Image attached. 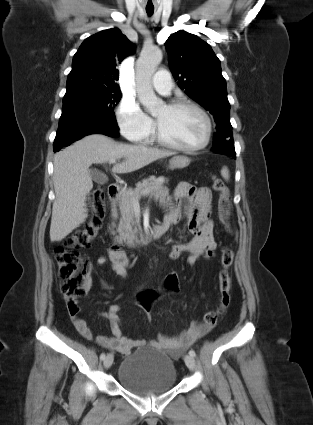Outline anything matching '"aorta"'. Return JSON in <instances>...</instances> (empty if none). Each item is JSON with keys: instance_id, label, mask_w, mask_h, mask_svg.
Masks as SVG:
<instances>
[{"instance_id": "762f6f07", "label": "aorta", "mask_w": 313, "mask_h": 425, "mask_svg": "<svg viewBox=\"0 0 313 425\" xmlns=\"http://www.w3.org/2000/svg\"><path fill=\"white\" fill-rule=\"evenodd\" d=\"M162 60V52L156 47L145 49L141 52L136 63V91L140 103L151 113L162 105L153 90L151 79L157 66Z\"/></svg>"}]
</instances>
